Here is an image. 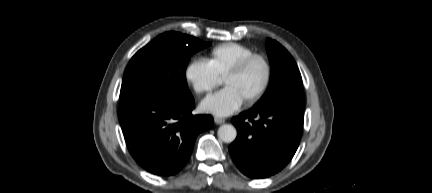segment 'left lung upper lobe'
Masks as SVG:
<instances>
[{
    "label": "left lung upper lobe",
    "mask_w": 432,
    "mask_h": 193,
    "mask_svg": "<svg viewBox=\"0 0 432 193\" xmlns=\"http://www.w3.org/2000/svg\"><path fill=\"white\" fill-rule=\"evenodd\" d=\"M266 49L270 62L269 87L254 107L278 104L303 110L302 78L295 60L275 40L267 39Z\"/></svg>",
    "instance_id": "obj_1"
}]
</instances>
